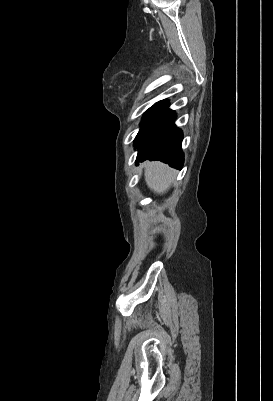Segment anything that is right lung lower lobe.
Returning a JSON list of instances; mask_svg holds the SVG:
<instances>
[{
    "label": "right lung lower lobe",
    "instance_id": "1",
    "mask_svg": "<svg viewBox=\"0 0 273 401\" xmlns=\"http://www.w3.org/2000/svg\"><path fill=\"white\" fill-rule=\"evenodd\" d=\"M175 119V112L167 104L141 127L134 141L138 149L137 165L145 160H158L176 169L183 167V133L175 126Z\"/></svg>",
    "mask_w": 273,
    "mask_h": 401
}]
</instances>
